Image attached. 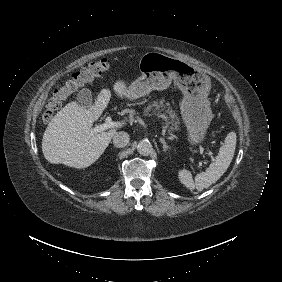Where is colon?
I'll return each mask as SVG.
<instances>
[{
    "label": "colon",
    "mask_w": 282,
    "mask_h": 282,
    "mask_svg": "<svg viewBox=\"0 0 282 282\" xmlns=\"http://www.w3.org/2000/svg\"><path fill=\"white\" fill-rule=\"evenodd\" d=\"M109 67L110 62L107 58H96L86 68L73 74L71 79L63 86L57 88L47 101L42 113V123L45 125L49 124L55 112L60 109L62 103L72 92L81 88L94 78L101 76Z\"/></svg>",
    "instance_id": "colon-1"
}]
</instances>
